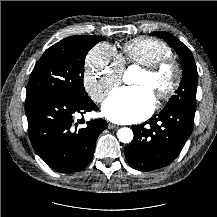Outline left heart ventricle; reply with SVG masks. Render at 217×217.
<instances>
[{
	"label": "left heart ventricle",
	"mask_w": 217,
	"mask_h": 217,
	"mask_svg": "<svg viewBox=\"0 0 217 217\" xmlns=\"http://www.w3.org/2000/svg\"><path fill=\"white\" fill-rule=\"evenodd\" d=\"M169 82L170 77L167 72H165L157 81H154L147 73L142 71L133 84L136 86L147 87L154 94L156 89L165 88Z\"/></svg>",
	"instance_id": "1"
}]
</instances>
